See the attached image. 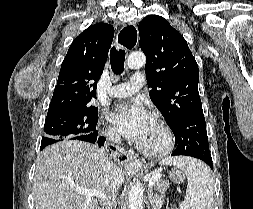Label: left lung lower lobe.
<instances>
[{
	"instance_id": "obj_1",
	"label": "left lung lower lobe",
	"mask_w": 253,
	"mask_h": 209,
	"mask_svg": "<svg viewBox=\"0 0 253 209\" xmlns=\"http://www.w3.org/2000/svg\"><path fill=\"white\" fill-rule=\"evenodd\" d=\"M173 156L177 155L175 154L174 152L172 153ZM192 157H195V158H198L202 161H204L206 164H208L210 166V168L212 169L213 165H212V158H211V155H203V156H192Z\"/></svg>"
}]
</instances>
